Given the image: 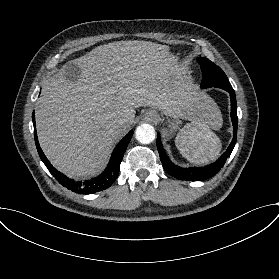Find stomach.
I'll list each match as a JSON object with an SVG mask.
<instances>
[{
    "label": "stomach",
    "mask_w": 279,
    "mask_h": 279,
    "mask_svg": "<svg viewBox=\"0 0 279 279\" xmlns=\"http://www.w3.org/2000/svg\"><path fill=\"white\" fill-rule=\"evenodd\" d=\"M151 110H154V109H151ZM162 114L165 115V116H169L167 112H162ZM176 115H178V114H176ZM159 117H160V115H159ZM171 117H172V116H171ZM173 118L179 119V118H181V117L179 116V117H173ZM160 120H162L161 117H160ZM160 122H161V121H160ZM169 132H170V129H169V128H166V129L163 130V135H164V136H168V135H169Z\"/></svg>",
    "instance_id": "obj_1"
}]
</instances>
